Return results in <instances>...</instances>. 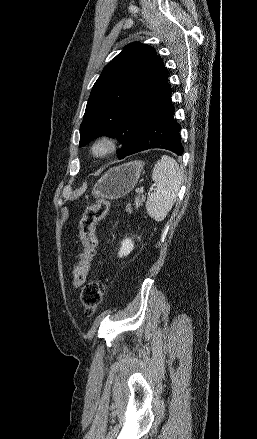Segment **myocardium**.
Returning <instances> with one entry per match:
<instances>
[{
  "label": "myocardium",
  "instance_id": "1",
  "mask_svg": "<svg viewBox=\"0 0 257 439\" xmlns=\"http://www.w3.org/2000/svg\"><path fill=\"white\" fill-rule=\"evenodd\" d=\"M118 147L117 139L110 134H102L93 139L90 144V155L97 160L113 154Z\"/></svg>",
  "mask_w": 257,
  "mask_h": 439
}]
</instances>
